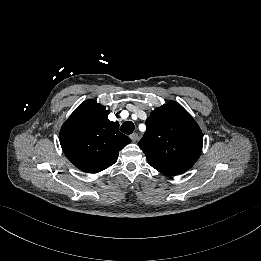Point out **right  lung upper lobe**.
<instances>
[{"instance_id":"cb5924a9","label":"right lung upper lobe","mask_w":261,"mask_h":261,"mask_svg":"<svg viewBox=\"0 0 261 261\" xmlns=\"http://www.w3.org/2000/svg\"><path fill=\"white\" fill-rule=\"evenodd\" d=\"M108 114L104 106L88 99L61 128L59 138L65 155L84 172L97 173L113 165L119 151L131 142Z\"/></svg>"}]
</instances>
